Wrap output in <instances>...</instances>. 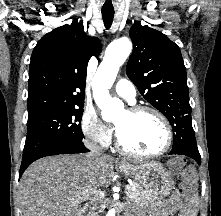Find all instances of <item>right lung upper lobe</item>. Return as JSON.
<instances>
[{
    "mask_svg": "<svg viewBox=\"0 0 221 216\" xmlns=\"http://www.w3.org/2000/svg\"><path fill=\"white\" fill-rule=\"evenodd\" d=\"M100 51L98 38L86 35L77 20L44 35L31 56L28 117L84 104L88 61Z\"/></svg>",
    "mask_w": 221,
    "mask_h": 216,
    "instance_id": "right-lung-upper-lobe-1",
    "label": "right lung upper lobe"
}]
</instances>
